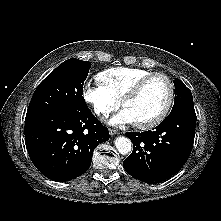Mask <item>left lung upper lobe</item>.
I'll list each match as a JSON object with an SVG mask.
<instances>
[{
    "mask_svg": "<svg viewBox=\"0 0 221 221\" xmlns=\"http://www.w3.org/2000/svg\"><path fill=\"white\" fill-rule=\"evenodd\" d=\"M174 85H175V102L171 110V113L195 112L191 91L179 79L174 80Z\"/></svg>",
    "mask_w": 221,
    "mask_h": 221,
    "instance_id": "5c2ea615",
    "label": "left lung upper lobe"
}]
</instances>
